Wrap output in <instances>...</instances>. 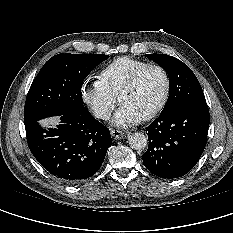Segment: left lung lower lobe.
Segmentation results:
<instances>
[{"label": "left lung lower lobe", "mask_w": 233, "mask_h": 233, "mask_svg": "<svg viewBox=\"0 0 233 233\" xmlns=\"http://www.w3.org/2000/svg\"><path fill=\"white\" fill-rule=\"evenodd\" d=\"M206 104L188 103L161 112L147 128L149 146L144 166L162 178L187 174L201 157L209 127Z\"/></svg>", "instance_id": "left-lung-lower-lobe-1"}]
</instances>
